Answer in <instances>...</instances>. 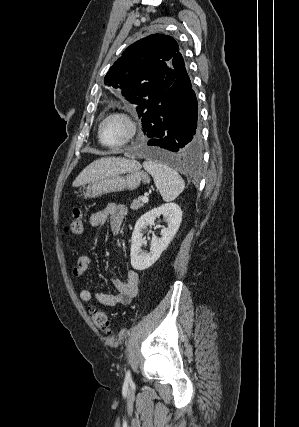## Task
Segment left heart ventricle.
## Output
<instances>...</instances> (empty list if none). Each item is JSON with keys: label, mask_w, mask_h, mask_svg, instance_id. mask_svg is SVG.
<instances>
[{"label": "left heart ventricle", "mask_w": 299, "mask_h": 427, "mask_svg": "<svg viewBox=\"0 0 299 427\" xmlns=\"http://www.w3.org/2000/svg\"><path fill=\"white\" fill-rule=\"evenodd\" d=\"M127 132L128 126L126 122L119 117H113L103 124L101 138L107 144H116L126 137Z\"/></svg>", "instance_id": "left-heart-ventricle-1"}]
</instances>
